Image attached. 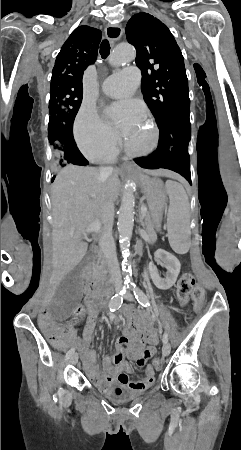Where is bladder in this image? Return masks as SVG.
<instances>
[{
  "label": "bladder",
  "mask_w": 241,
  "mask_h": 450,
  "mask_svg": "<svg viewBox=\"0 0 241 450\" xmlns=\"http://www.w3.org/2000/svg\"><path fill=\"white\" fill-rule=\"evenodd\" d=\"M105 394L114 402H127L138 397L140 393L121 382H117Z\"/></svg>",
  "instance_id": "31cf9c89"
}]
</instances>
